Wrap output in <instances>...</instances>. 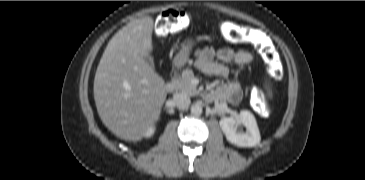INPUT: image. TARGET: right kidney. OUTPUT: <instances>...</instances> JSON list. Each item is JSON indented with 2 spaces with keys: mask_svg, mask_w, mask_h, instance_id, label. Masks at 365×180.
I'll return each instance as SVG.
<instances>
[{
  "mask_svg": "<svg viewBox=\"0 0 365 180\" xmlns=\"http://www.w3.org/2000/svg\"><path fill=\"white\" fill-rule=\"evenodd\" d=\"M154 131H155L154 127H149V128L147 129L146 133H145V136H146V137H150V136H152V135L154 134Z\"/></svg>",
  "mask_w": 365,
  "mask_h": 180,
  "instance_id": "obj_1",
  "label": "right kidney"
}]
</instances>
